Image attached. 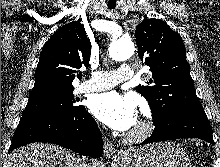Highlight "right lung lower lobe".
<instances>
[{"mask_svg": "<svg viewBox=\"0 0 220 167\" xmlns=\"http://www.w3.org/2000/svg\"><path fill=\"white\" fill-rule=\"evenodd\" d=\"M33 142L57 144L93 158L103 153L101 132L84 106L71 113L47 111L22 117L10 149Z\"/></svg>", "mask_w": 220, "mask_h": 167, "instance_id": "1", "label": "right lung lower lobe"}]
</instances>
